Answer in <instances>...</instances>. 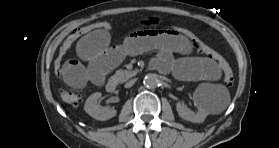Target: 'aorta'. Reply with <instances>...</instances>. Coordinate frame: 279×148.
Instances as JSON below:
<instances>
[{"label": "aorta", "instance_id": "obj_1", "mask_svg": "<svg viewBox=\"0 0 279 148\" xmlns=\"http://www.w3.org/2000/svg\"><path fill=\"white\" fill-rule=\"evenodd\" d=\"M143 83L147 88H156L159 80L155 74H148L145 76Z\"/></svg>", "mask_w": 279, "mask_h": 148}]
</instances>
